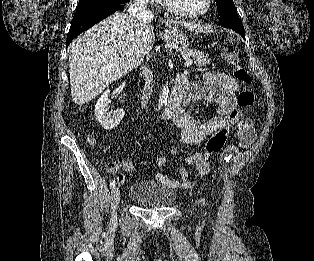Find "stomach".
<instances>
[{
  "label": "stomach",
  "instance_id": "obj_1",
  "mask_svg": "<svg viewBox=\"0 0 314 261\" xmlns=\"http://www.w3.org/2000/svg\"><path fill=\"white\" fill-rule=\"evenodd\" d=\"M163 37L166 41L176 42L183 49L189 46L188 38L174 25L168 26Z\"/></svg>",
  "mask_w": 314,
  "mask_h": 261
}]
</instances>
